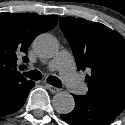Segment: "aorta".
Segmentation results:
<instances>
[{
    "label": "aorta",
    "instance_id": "762f6f07",
    "mask_svg": "<svg viewBox=\"0 0 125 125\" xmlns=\"http://www.w3.org/2000/svg\"><path fill=\"white\" fill-rule=\"evenodd\" d=\"M33 48L42 58H51L58 51L57 40L50 34H41L33 42ZM54 109L60 114H68L75 107V101L71 94L59 92L54 95L52 100Z\"/></svg>",
    "mask_w": 125,
    "mask_h": 125
}]
</instances>
